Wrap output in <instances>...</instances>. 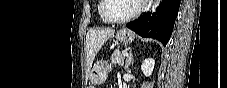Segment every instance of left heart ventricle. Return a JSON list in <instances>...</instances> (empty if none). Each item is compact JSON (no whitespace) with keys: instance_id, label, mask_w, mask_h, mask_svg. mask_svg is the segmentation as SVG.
Instances as JSON below:
<instances>
[{"instance_id":"1","label":"left heart ventricle","mask_w":227,"mask_h":88,"mask_svg":"<svg viewBox=\"0 0 227 88\" xmlns=\"http://www.w3.org/2000/svg\"><path fill=\"white\" fill-rule=\"evenodd\" d=\"M137 4L136 0H107L104 13L109 19H122L134 12Z\"/></svg>"}]
</instances>
